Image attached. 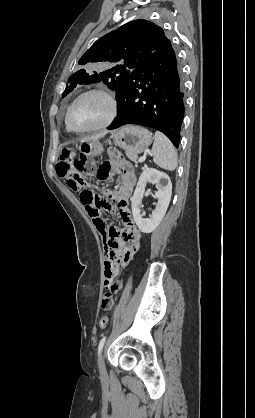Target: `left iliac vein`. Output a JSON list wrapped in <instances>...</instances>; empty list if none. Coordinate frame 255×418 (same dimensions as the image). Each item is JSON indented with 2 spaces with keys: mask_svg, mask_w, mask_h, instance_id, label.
Listing matches in <instances>:
<instances>
[{
  "mask_svg": "<svg viewBox=\"0 0 255 418\" xmlns=\"http://www.w3.org/2000/svg\"><path fill=\"white\" fill-rule=\"evenodd\" d=\"M98 365H99L100 374L102 376L105 375V365H104V360H103V355L102 354L99 356Z\"/></svg>",
  "mask_w": 255,
  "mask_h": 418,
  "instance_id": "1",
  "label": "left iliac vein"
}]
</instances>
